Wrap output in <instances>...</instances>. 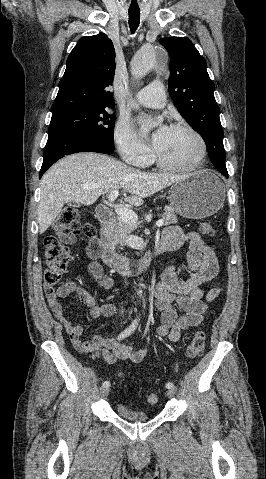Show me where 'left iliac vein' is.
<instances>
[{
    "instance_id": "1",
    "label": "left iliac vein",
    "mask_w": 266,
    "mask_h": 479,
    "mask_svg": "<svg viewBox=\"0 0 266 479\" xmlns=\"http://www.w3.org/2000/svg\"><path fill=\"white\" fill-rule=\"evenodd\" d=\"M175 395H176V390H175V389H169V390L167 391V396H168L169 398H172V397H174Z\"/></svg>"
}]
</instances>
